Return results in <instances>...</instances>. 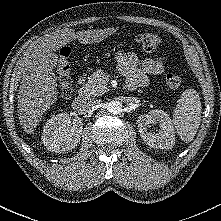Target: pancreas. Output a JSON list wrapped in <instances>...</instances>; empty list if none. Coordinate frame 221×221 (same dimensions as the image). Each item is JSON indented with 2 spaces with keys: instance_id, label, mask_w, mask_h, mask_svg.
Returning <instances> with one entry per match:
<instances>
[{
  "instance_id": "1",
  "label": "pancreas",
  "mask_w": 221,
  "mask_h": 221,
  "mask_svg": "<svg viewBox=\"0 0 221 221\" xmlns=\"http://www.w3.org/2000/svg\"><path fill=\"white\" fill-rule=\"evenodd\" d=\"M109 77L102 70L95 71L88 77L87 83L80 90V94L86 97L99 96L107 91Z\"/></svg>"
}]
</instances>
